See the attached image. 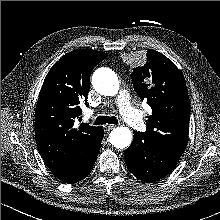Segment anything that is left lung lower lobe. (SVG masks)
<instances>
[{"mask_svg":"<svg viewBox=\"0 0 220 220\" xmlns=\"http://www.w3.org/2000/svg\"><path fill=\"white\" fill-rule=\"evenodd\" d=\"M128 170L138 179L153 183L167 176L180 155L149 141L141 132L134 131L131 146L124 152Z\"/></svg>","mask_w":220,"mask_h":220,"instance_id":"0a47b994","label":"left lung lower lobe"}]
</instances>
